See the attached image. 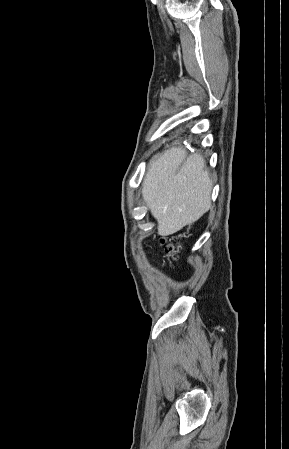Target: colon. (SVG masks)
<instances>
[{"label": "colon", "mask_w": 289, "mask_h": 449, "mask_svg": "<svg viewBox=\"0 0 289 449\" xmlns=\"http://www.w3.org/2000/svg\"><path fill=\"white\" fill-rule=\"evenodd\" d=\"M163 244L166 248V252L169 253L171 256L177 257L181 251L180 245L171 239H165L163 240Z\"/></svg>", "instance_id": "1"}]
</instances>
